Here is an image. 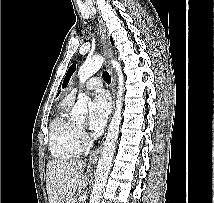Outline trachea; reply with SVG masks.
<instances>
[{
  "label": "trachea",
  "instance_id": "1",
  "mask_svg": "<svg viewBox=\"0 0 214 203\" xmlns=\"http://www.w3.org/2000/svg\"><path fill=\"white\" fill-rule=\"evenodd\" d=\"M103 78L106 81L107 84L111 83V77L107 71L103 72Z\"/></svg>",
  "mask_w": 214,
  "mask_h": 203
}]
</instances>
